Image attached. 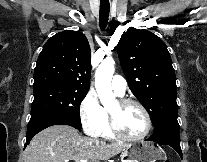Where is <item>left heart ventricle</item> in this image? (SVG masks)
<instances>
[{"instance_id": "left-heart-ventricle-1", "label": "left heart ventricle", "mask_w": 207, "mask_h": 162, "mask_svg": "<svg viewBox=\"0 0 207 162\" xmlns=\"http://www.w3.org/2000/svg\"><path fill=\"white\" fill-rule=\"evenodd\" d=\"M109 112L115 116L121 132L125 135L136 136L145 130V116L137 106L130 105L119 109L117 103H114Z\"/></svg>"}]
</instances>
